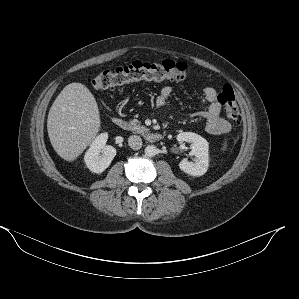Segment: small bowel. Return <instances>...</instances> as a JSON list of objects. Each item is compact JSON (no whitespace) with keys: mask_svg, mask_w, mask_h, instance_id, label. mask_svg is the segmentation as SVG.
<instances>
[{"mask_svg":"<svg viewBox=\"0 0 299 299\" xmlns=\"http://www.w3.org/2000/svg\"><path fill=\"white\" fill-rule=\"evenodd\" d=\"M171 95V87H162L155 98V104L158 107H164ZM202 102L206 105V109L196 115L205 119L207 132L213 135H221L229 132L231 124L221 115V105L217 101V93L214 88L207 87L204 89Z\"/></svg>","mask_w":299,"mask_h":299,"instance_id":"1","label":"small bowel"}]
</instances>
